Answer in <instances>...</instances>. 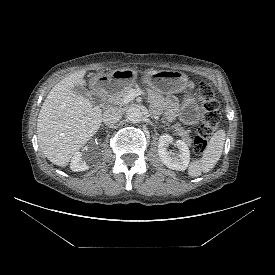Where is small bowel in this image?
Listing matches in <instances>:
<instances>
[{
  "mask_svg": "<svg viewBox=\"0 0 275 275\" xmlns=\"http://www.w3.org/2000/svg\"><path fill=\"white\" fill-rule=\"evenodd\" d=\"M191 88H192V84L189 83L188 90H190ZM150 97L156 104L163 105L169 118H172L175 115V112L177 109V101L175 98L167 97L163 101H161L159 97L153 92L150 93Z\"/></svg>",
  "mask_w": 275,
  "mask_h": 275,
  "instance_id": "1",
  "label": "small bowel"
}]
</instances>
